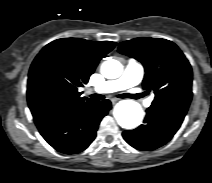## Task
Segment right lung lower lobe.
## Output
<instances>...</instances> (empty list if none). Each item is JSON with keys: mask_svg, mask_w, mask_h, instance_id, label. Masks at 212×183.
<instances>
[{"mask_svg": "<svg viewBox=\"0 0 212 183\" xmlns=\"http://www.w3.org/2000/svg\"><path fill=\"white\" fill-rule=\"evenodd\" d=\"M111 109V102H92L79 108H61L35 119L43 138L56 150L75 154L86 149Z\"/></svg>", "mask_w": 212, "mask_h": 183, "instance_id": "98d812e1", "label": "right lung lower lobe"}]
</instances>
